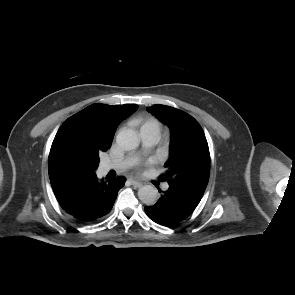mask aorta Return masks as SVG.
<instances>
[{
	"instance_id": "aorta-1",
	"label": "aorta",
	"mask_w": 295,
	"mask_h": 295,
	"mask_svg": "<svg viewBox=\"0 0 295 295\" xmlns=\"http://www.w3.org/2000/svg\"><path fill=\"white\" fill-rule=\"evenodd\" d=\"M139 137L132 129H122L116 136L118 146L126 151L136 149L139 146ZM138 198L146 205H154L158 199V191L152 185L139 188Z\"/></svg>"
}]
</instances>
